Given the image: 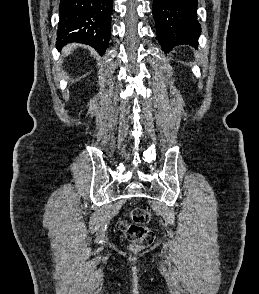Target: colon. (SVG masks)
Wrapping results in <instances>:
<instances>
[{"instance_id":"colon-1","label":"colon","mask_w":259,"mask_h":294,"mask_svg":"<svg viewBox=\"0 0 259 294\" xmlns=\"http://www.w3.org/2000/svg\"><path fill=\"white\" fill-rule=\"evenodd\" d=\"M150 217V212L147 209L136 207L129 213L130 222H121V229L132 250L145 249L153 243L154 232L146 227Z\"/></svg>"}]
</instances>
